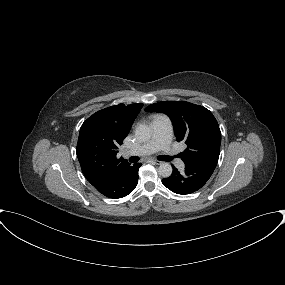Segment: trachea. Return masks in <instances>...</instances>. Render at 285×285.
I'll return each instance as SVG.
<instances>
[{"label": "trachea", "instance_id": "trachea-1", "mask_svg": "<svg viewBox=\"0 0 285 285\" xmlns=\"http://www.w3.org/2000/svg\"><path fill=\"white\" fill-rule=\"evenodd\" d=\"M158 159L161 160V161H171L172 157L166 156V155H161V156L158 157ZM129 161L131 163L137 162V161H139V157L132 156V157L129 158Z\"/></svg>", "mask_w": 285, "mask_h": 285}]
</instances>
